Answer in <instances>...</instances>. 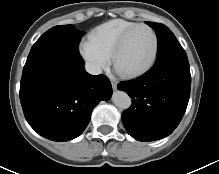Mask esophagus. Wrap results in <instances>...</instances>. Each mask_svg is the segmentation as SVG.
<instances>
[{
  "label": "esophagus",
  "mask_w": 219,
  "mask_h": 174,
  "mask_svg": "<svg viewBox=\"0 0 219 174\" xmlns=\"http://www.w3.org/2000/svg\"><path fill=\"white\" fill-rule=\"evenodd\" d=\"M112 88L113 90H116L117 89V82L115 80H112Z\"/></svg>",
  "instance_id": "esophagus-1"
}]
</instances>
